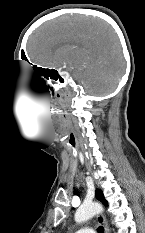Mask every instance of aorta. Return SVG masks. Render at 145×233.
Here are the masks:
<instances>
[{
	"mask_svg": "<svg viewBox=\"0 0 145 233\" xmlns=\"http://www.w3.org/2000/svg\"><path fill=\"white\" fill-rule=\"evenodd\" d=\"M103 211L102 205L99 203H89V204H82L76 211L74 219L77 223H82L96 214Z\"/></svg>",
	"mask_w": 145,
	"mask_h": 233,
	"instance_id": "obj_1",
	"label": "aorta"
}]
</instances>
